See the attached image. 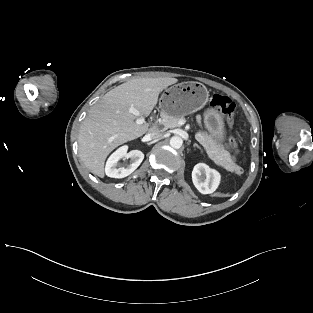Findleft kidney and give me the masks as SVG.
Here are the masks:
<instances>
[{
	"label": "left kidney",
	"instance_id": "5707ae66",
	"mask_svg": "<svg viewBox=\"0 0 313 313\" xmlns=\"http://www.w3.org/2000/svg\"><path fill=\"white\" fill-rule=\"evenodd\" d=\"M192 181L200 193L211 194L217 189L220 183V174L208 165L198 163L193 168Z\"/></svg>",
	"mask_w": 313,
	"mask_h": 313
}]
</instances>
